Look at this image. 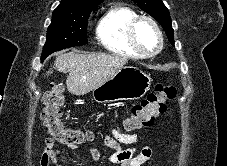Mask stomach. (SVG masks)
<instances>
[{"label":"stomach","mask_w":227,"mask_h":166,"mask_svg":"<svg viewBox=\"0 0 227 166\" xmlns=\"http://www.w3.org/2000/svg\"><path fill=\"white\" fill-rule=\"evenodd\" d=\"M151 78L141 69L124 66L105 83L92 92L93 99L99 103L137 100L150 89Z\"/></svg>","instance_id":"1"}]
</instances>
